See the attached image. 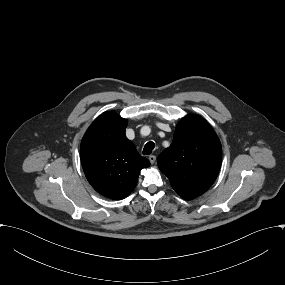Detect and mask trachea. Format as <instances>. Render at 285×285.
Wrapping results in <instances>:
<instances>
[{
  "mask_svg": "<svg viewBox=\"0 0 285 285\" xmlns=\"http://www.w3.org/2000/svg\"><path fill=\"white\" fill-rule=\"evenodd\" d=\"M154 147H155L154 142L146 143V145L144 146V149H143V154L144 155H150L152 153Z\"/></svg>",
  "mask_w": 285,
  "mask_h": 285,
  "instance_id": "3493384b",
  "label": "trachea"
}]
</instances>
